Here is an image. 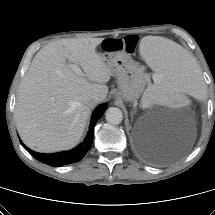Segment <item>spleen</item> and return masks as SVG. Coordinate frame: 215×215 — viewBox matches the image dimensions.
I'll use <instances>...</instances> for the list:
<instances>
[{
  "mask_svg": "<svg viewBox=\"0 0 215 215\" xmlns=\"http://www.w3.org/2000/svg\"><path fill=\"white\" fill-rule=\"evenodd\" d=\"M140 52L146 63L155 71V83L149 85L142 96L144 106L148 96L161 97L167 99L171 96L202 98L205 88V81L199 74V59L192 53L183 50L180 46L165 39L156 37H145L140 43ZM157 105H161L158 104ZM169 106H178L171 105Z\"/></svg>",
  "mask_w": 215,
  "mask_h": 215,
  "instance_id": "3e777b00",
  "label": "spleen"
}]
</instances>
